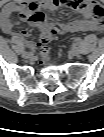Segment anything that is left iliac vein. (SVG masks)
<instances>
[{
  "label": "left iliac vein",
  "mask_w": 104,
  "mask_h": 137,
  "mask_svg": "<svg viewBox=\"0 0 104 137\" xmlns=\"http://www.w3.org/2000/svg\"><path fill=\"white\" fill-rule=\"evenodd\" d=\"M71 54H72L73 56H78V55L80 54V49H79L78 47H73V48L71 49Z\"/></svg>",
  "instance_id": "obj_1"
}]
</instances>
